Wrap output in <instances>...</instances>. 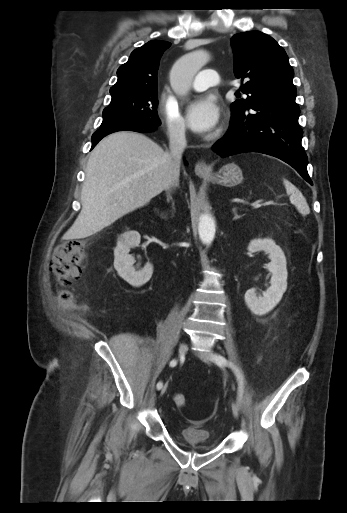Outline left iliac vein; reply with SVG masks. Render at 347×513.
<instances>
[{
	"mask_svg": "<svg viewBox=\"0 0 347 513\" xmlns=\"http://www.w3.org/2000/svg\"><path fill=\"white\" fill-rule=\"evenodd\" d=\"M200 358L203 362L207 363V364H211L212 363V358H211V355L209 353H201L200 354ZM232 412H233V415L235 418H238L239 416V408H238V405L237 403L233 402L232 403Z\"/></svg>",
	"mask_w": 347,
	"mask_h": 513,
	"instance_id": "4c4485c4",
	"label": "left iliac vein"
}]
</instances>
